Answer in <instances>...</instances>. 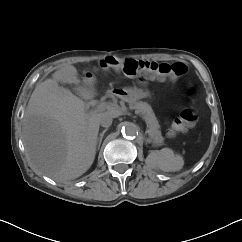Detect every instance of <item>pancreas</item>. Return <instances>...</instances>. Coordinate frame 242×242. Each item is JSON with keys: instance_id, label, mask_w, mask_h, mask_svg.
I'll list each match as a JSON object with an SVG mask.
<instances>
[{"instance_id": "pancreas-1", "label": "pancreas", "mask_w": 242, "mask_h": 242, "mask_svg": "<svg viewBox=\"0 0 242 242\" xmlns=\"http://www.w3.org/2000/svg\"><path fill=\"white\" fill-rule=\"evenodd\" d=\"M130 108L135 109L136 113L144 118L149 128L150 138L154 142H160L162 140L160 125L151 106L146 102H131Z\"/></svg>"}]
</instances>
